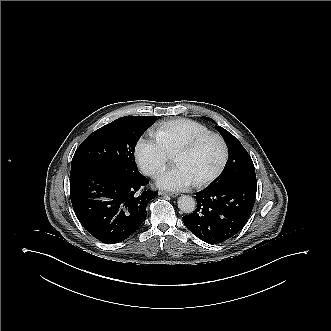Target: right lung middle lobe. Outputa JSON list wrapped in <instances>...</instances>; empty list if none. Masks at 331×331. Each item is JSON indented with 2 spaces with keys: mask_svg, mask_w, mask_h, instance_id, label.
<instances>
[{
  "mask_svg": "<svg viewBox=\"0 0 331 331\" xmlns=\"http://www.w3.org/2000/svg\"><path fill=\"white\" fill-rule=\"evenodd\" d=\"M154 121L153 116H125L94 131L77 148L70 175L86 168H107L127 178L139 176L135 146Z\"/></svg>",
  "mask_w": 331,
  "mask_h": 331,
  "instance_id": "right-lung-middle-lobe-1",
  "label": "right lung middle lobe"
}]
</instances>
